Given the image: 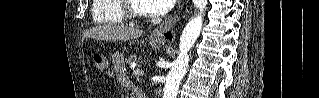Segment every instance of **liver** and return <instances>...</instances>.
<instances>
[{
  "label": "liver",
  "mask_w": 319,
  "mask_h": 98,
  "mask_svg": "<svg viewBox=\"0 0 319 98\" xmlns=\"http://www.w3.org/2000/svg\"><path fill=\"white\" fill-rule=\"evenodd\" d=\"M144 34L143 31L121 25H104L98 26L84 33V37H90L94 40L115 41V40H130L140 37Z\"/></svg>",
  "instance_id": "liver-1"
}]
</instances>
